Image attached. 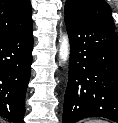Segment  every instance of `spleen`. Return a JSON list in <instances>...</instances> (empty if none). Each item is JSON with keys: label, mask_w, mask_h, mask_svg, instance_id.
<instances>
[{"label": "spleen", "mask_w": 118, "mask_h": 123, "mask_svg": "<svg viewBox=\"0 0 118 123\" xmlns=\"http://www.w3.org/2000/svg\"><path fill=\"white\" fill-rule=\"evenodd\" d=\"M85 123H108V122L103 120H88Z\"/></svg>", "instance_id": "obj_1"}]
</instances>
